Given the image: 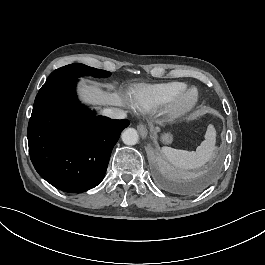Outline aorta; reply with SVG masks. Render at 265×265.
Returning <instances> with one entry per match:
<instances>
[{"label": "aorta", "mask_w": 265, "mask_h": 265, "mask_svg": "<svg viewBox=\"0 0 265 265\" xmlns=\"http://www.w3.org/2000/svg\"><path fill=\"white\" fill-rule=\"evenodd\" d=\"M122 141L125 145H136L138 143V133L133 128H127L122 132Z\"/></svg>", "instance_id": "obj_1"}]
</instances>
